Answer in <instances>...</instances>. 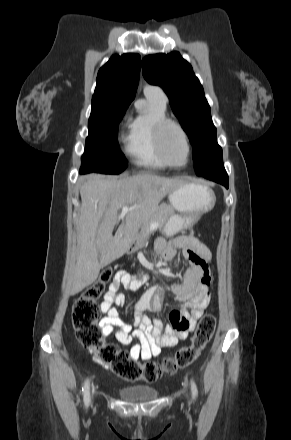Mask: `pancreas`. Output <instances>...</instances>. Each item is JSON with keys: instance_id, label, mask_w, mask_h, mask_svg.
<instances>
[{"instance_id": "1", "label": "pancreas", "mask_w": 291, "mask_h": 440, "mask_svg": "<svg viewBox=\"0 0 291 440\" xmlns=\"http://www.w3.org/2000/svg\"><path fill=\"white\" fill-rule=\"evenodd\" d=\"M174 213V208L168 204H161L156 208L151 217L143 223L140 232L136 235L135 239L137 244L142 245L150 233L153 231L150 229L153 223H157L159 227H163L168 218Z\"/></svg>"}]
</instances>
